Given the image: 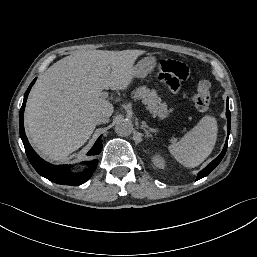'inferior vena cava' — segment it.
Wrapping results in <instances>:
<instances>
[{
  "label": "inferior vena cava",
  "instance_id": "inferior-vena-cava-1",
  "mask_svg": "<svg viewBox=\"0 0 257 257\" xmlns=\"http://www.w3.org/2000/svg\"><path fill=\"white\" fill-rule=\"evenodd\" d=\"M109 117H110L109 114H105V113L99 114V115L96 117V123H97V124H100V123H107V122L109 121Z\"/></svg>",
  "mask_w": 257,
  "mask_h": 257
}]
</instances>
